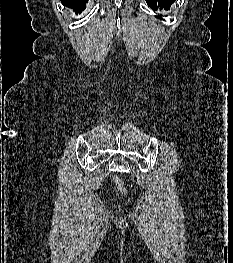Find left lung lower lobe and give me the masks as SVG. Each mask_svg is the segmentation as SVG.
I'll use <instances>...</instances> for the list:
<instances>
[{"mask_svg": "<svg viewBox=\"0 0 233 263\" xmlns=\"http://www.w3.org/2000/svg\"><path fill=\"white\" fill-rule=\"evenodd\" d=\"M175 0H146L148 6L153 10H157L158 6L166 10L169 9L170 5L174 3Z\"/></svg>", "mask_w": 233, "mask_h": 263, "instance_id": "obj_1", "label": "left lung lower lobe"}]
</instances>
